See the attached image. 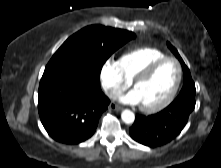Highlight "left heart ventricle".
<instances>
[{
  "label": "left heart ventricle",
  "instance_id": "left-heart-ventricle-1",
  "mask_svg": "<svg viewBox=\"0 0 221 168\" xmlns=\"http://www.w3.org/2000/svg\"><path fill=\"white\" fill-rule=\"evenodd\" d=\"M177 76L178 69L174 62L161 64L150 77L134 88L141 105L151 106L164 100L173 89Z\"/></svg>",
  "mask_w": 221,
  "mask_h": 168
}]
</instances>
